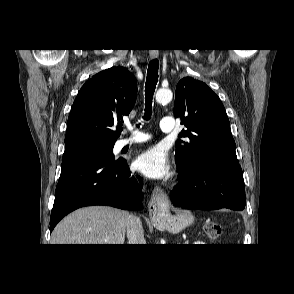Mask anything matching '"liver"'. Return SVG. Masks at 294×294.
I'll return each instance as SVG.
<instances>
[{"label":"liver","instance_id":"1","mask_svg":"<svg viewBox=\"0 0 294 294\" xmlns=\"http://www.w3.org/2000/svg\"><path fill=\"white\" fill-rule=\"evenodd\" d=\"M128 216L105 206L78 209L55 227L51 244H124Z\"/></svg>","mask_w":294,"mask_h":294}]
</instances>
